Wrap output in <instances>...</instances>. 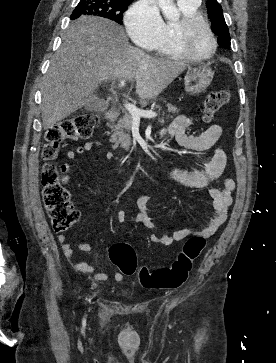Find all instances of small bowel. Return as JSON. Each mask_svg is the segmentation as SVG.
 Segmentation results:
<instances>
[{
  "label": "small bowel",
  "instance_id": "c3829d8e",
  "mask_svg": "<svg viewBox=\"0 0 276 363\" xmlns=\"http://www.w3.org/2000/svg\"><path fill=\"white\" fill-rule=\"evenodd\" d=\"M198 120V117L179 115L173 118L160 132L161 137H174L177 143L186 149L204 152L214 148L213 155L206 157V165L201 170L187 171L173 168L165 172L166 177L170 181L180 186L193 189L208 187L213 181L219 179L223 174L227 163L226 152L219 145L220 138L223 134L220 125H210L204 132L198 135L186 133L187 128ZM99 144V141H90L80 145L75 150L68 151L67 158L74 160L79 154L89 152ZM107 157L112 158V154H108ZM62 169L69 172L72 170V165L70 163H64ZM70 180L71 177L65 175L61 182L68 183ZM235 187V180L226 177L222 179V186L220 188H212L210 190L214 211L207 223L199 229L185 228L177 230L172 234L160 233L159 226L152 221L151 215L147 209L148 203L153 199V196L148 194L141 196L137 200L138 214L134 218L127 220L126 212L120 210L116 214L115 221L117 224L128 222L130 224H141L145 226L147 229L154 231L150 240L153 243L161 245H173L189 236L209 237L225 222L228 208L233 201L232 193L234 192ZM57 239L61 243L64 256L76 271L88 275L94 282H103L110 279V275L107 273H96L93 265L75 260L74 250L71 245L66 242V237L64 235H58ZM77 249L80 252H88L91 249V245L88 242H84L79 244ZM113 279L120 282L124 279V274L116 272L113 275Z\"/></svg>",
  "mask_w": 276,
  "mask_h": 363
}]
</instances>
